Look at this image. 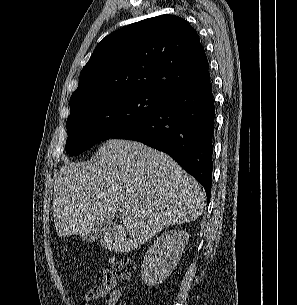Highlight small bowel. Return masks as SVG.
I'll use <instances>...</instances> for the list:
<instances>
[{
    "label": "small bowel",
    "instance_id": "obj_1",
    "mask_svg": "<svg viewBox=\"0 0 297 305\" xmlns=\"http://www.w3.org/2000/svg\"><path fill=\"white\" fill-rule=\"evenodd\" d=\"M116 279L108 271L103 275L102 282L90 289L84 295L81 305H91L93 301L106 298L105 305H119L122 298V292L115 288Z\"/></svg>",
    "mask_w": 297,
    "mask_h": 305
}]
</instances>
